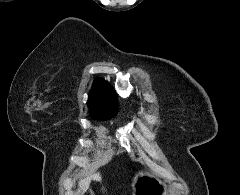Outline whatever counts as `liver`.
Returning <instances> with one entry per match:
<instances>
[{
    "mask_svg": "<svg viewBox=\"0 0 240 195\" xmlns=\"http://www.w3.org/2000/svg\"><path fill=\"white\" fill-rule=\"evenodd\" d=\"M91 179H95V181H100L101 175L99 171H97V173H91L89 177H83V179H80V181H78L79 185L78 191H86V189H88L89 187Z\"/></svg>",
    "mask_w": 240,
    "mask_h": 195,
    "instance_id": "liver-1",
    "label": "liver"
}]
</instances>
